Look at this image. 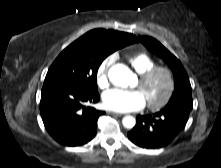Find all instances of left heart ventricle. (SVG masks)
<instances>
[{
	"label": "left heart ventricle",
	"instance_id": "obj_1",
	"mask_svg": "<svg viewBox=\"0 0 221 168\" xmlns=\"http://www.w3.org/2000/svg\"><path fill=\"white\" fill-rule=\"evenodd\" d=\"M137 88L142 92L146 102H158L167 90V79L164 74H157L146 84L137 82Z\"/></svg>",
	"mask_w": 221,
	"mask_h": 168
}]
</instances>
